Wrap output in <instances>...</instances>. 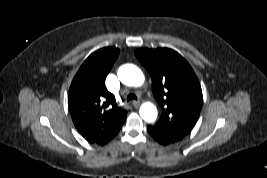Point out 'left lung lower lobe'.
<instances>
[{
    "mask_svg": "<svg viewBox=\"0 0 267 178\" xmlns=\"http://www.w3.org/2000/svg\"><path fill=\"white\" fill-rule=\"evenodd\" d=\"M148 131H149L150 135L154 138V140L157 141L159 144L169 145L172 143V142L166 140L165 138H163L155 129L151 128L150 126H148Z\"/></svg>",
    "mask_w": 267,
    "mask_h": 178,
    "instance_id": "left-lung-lower-lobe-1",
    "label": "left lung lower lobe"
}]
</instances>
